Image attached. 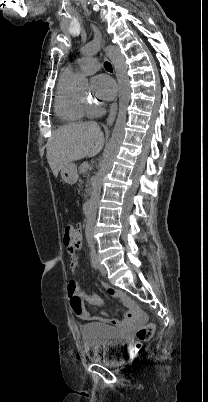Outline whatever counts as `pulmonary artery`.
<instances>
[{
	"instance_id": "1",
	"label": "pulmonary artery",
	"mask_w": 208,
	"mask_h": 402,
	"mask_svg": "<svg viewBox=\"0 0 208 402\" xmlns=\"http://www.w3.org/2000/svg\"><path fill=\"white\" fill-rule=\"evenodd\" d=\"M92 53L85 50V55L89 56ZM100 62L91 60L89 57L77 59L74 63L66 67V72L73 76L89 75L100 69Z\"/></svg>"
}]
</instances>
